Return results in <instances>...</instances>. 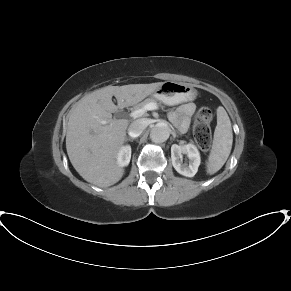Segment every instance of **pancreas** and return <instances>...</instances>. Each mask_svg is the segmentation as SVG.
<instances>
[{"label":"pancreas","instance_id":"1","mask_svg":"<svg viewBox=\"0 0 291 291\" xmlns=\"http://www.w3.org/2000/svg\"><path fill=\"white\" fill-rule=\"evenodd\" d=\"M155 101H156V98H154V97L147 98V99H145L144 101H142L141 103L135 105V106H134V109H136V110H137V109H140V108H142L143 106H145L146 104L151 103V102H155Z\"/></svg>","mask_w":291,"mask_h":291}]
</instances>
